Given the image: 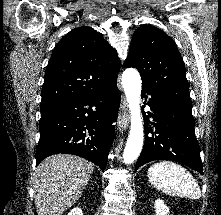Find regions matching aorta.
Masks as SVG:
<instances>
[{"mask_svg":"<svg viewBox=\"0 0 221 215\" xmlns=\"http://www.w3.org/2000/svg\"><path fill=\"white\" fill-rule=\"evenodd\" d=\"M122 85L129 106L131 127L123 152L126 164L133 163L141 153L144 142V128L140 110L141 78L134 68L126 69L122 74Z\"/></svg>","mask_w":221,"mask_h":215,"instance_id":"aorta-1","label":"aorta"}]
</instances>
